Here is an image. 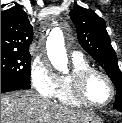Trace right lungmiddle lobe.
<instances>
[{
  "label": "right lung middle lobe",
  "mask_w": 122,
  "mask_h": 123,
  "mask_svg": "<svg viewBox=\"0 0 122 123\" xmlns=\"http://www.w3.org/2000/svg\"><path fill=\"white\" fill-rule=\"evenodd\" d=\"M30 53L1 52V77L30 84Z\"/></svg>",
  "instance_id": "obj_1"
}]
</instances>
